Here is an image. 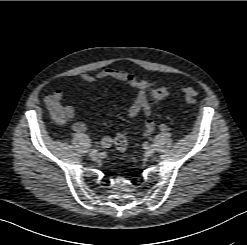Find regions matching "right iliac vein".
I'll return each instance as SVG.
<instances>
[{"mask_svg":"<svg viewBox=\"0 0 247 245\" xmlns=\"http://www.w3.org/2000/svg\"><path fill=\"white\" fill-rule=\"evenodd\" d=\"M89 156L92 158V159H96L98 157V153L97 152H90Z\"/></svg>","mask_w":247,"mask_h":245,"instance_id":"right-iliac-vein-1","label":"right iliac vein"}]
</instances>
